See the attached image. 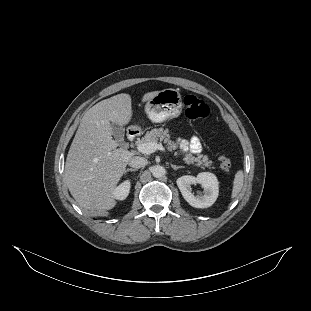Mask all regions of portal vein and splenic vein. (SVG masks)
<instances>
[{
  "mask_svg": "<svg viewBox=\"0 0 311 311\" xmlns=\"http://www.w3.org/2000/svg\"><path fill=\"white\" fill-rule=\"evenodd\" d=\"M137 150L141 152L142 154H151L157 150L164 151L165 148L163 147L162 144L149 142V143L138 144Z\"/></svg>",
  "mask_w": 311,
  "mask_h": 311,
  "instance_id": "obj_1",
  "label": "portal vein and splenic vein"
}]
</instances>
